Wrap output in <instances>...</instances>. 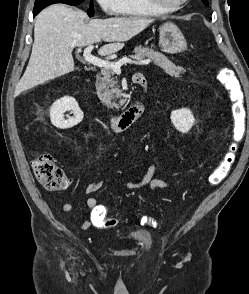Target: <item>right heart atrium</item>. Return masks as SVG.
Wrapping results in <instances>:
<instances>
[{"mask_svg": "<svg viewBox=\"0 0 249 294\" xmlns=\"http://www.w3.org/2000/svg\"><path fill=\"white\" fill-rule=\"evenodd\" d=\"M99 6L107 14L119 13V0H96Z\"/></svg>", "mask_w": 249, "mask_h": 294, "instance_id": "obj_1", "label": "right heart atrium"}]
</instances>
